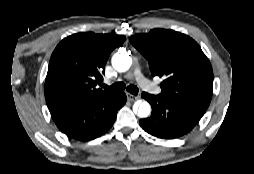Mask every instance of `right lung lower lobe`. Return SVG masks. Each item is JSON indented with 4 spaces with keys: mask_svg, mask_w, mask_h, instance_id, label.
<instances>
[{
    "mask_svg": "<svg viewBox=\"0 0 254 174\" xmlns=\"http://www.w3.org/2000/svg\"><path fill=\"white\" fill-rule=\"evenodd\" d=\"M121 92L108 97H81L50 111L57 127L68 137L88 141L107 132L125 104Z\"/></svg>",
    "mask_w": 254,
    "mask_h": 174,
    "instance_id": "1",
    "label": "right lung lower lobe"
}]
</instances>
